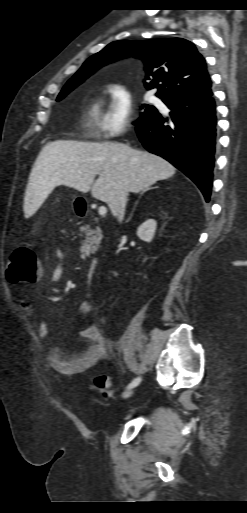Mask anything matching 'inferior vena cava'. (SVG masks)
<instances>
[{
  "label": "inferior vena cava",
  "instance_id": "1",
  "mask_svg": "<svg viewBox=\"0 0 247 513\" xmlns=\"http://www.w3.org/2000/svg\"><path fill=\"white\" fill-rule=\"evenodd\" d=\"M127 196H128V190L124 188L119 193L118 198H117L116 203H115V210L117 212V216H118V220L119 221H122L123 217H124L125 206H126V202H127Z\"/></svg>",
  "mask_w": 247,
  "mask_h": 513
}]
</instances>
